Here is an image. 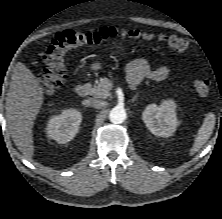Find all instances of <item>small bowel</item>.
<instances>
[{
	"label": "small bowel",
	"mask_w": 222,
	"mask_h": 219,
	"mask_svg": "<svg viewBox=\"0 0 222 219\" xmlns=\"http://www.w3.org/2000/svg\"><path fill=\"white\" fill-rule=\"evenodd\" d=\"M169 68L166 65H161L157 68H151L146 59L140 58L131 61L127 67V79L131 85H138L143 80L161 81L169 74Z\"/></svg>",
	"instance_id": "1"
}]
</instances>
